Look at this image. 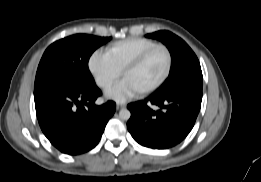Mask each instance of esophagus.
I'll return each mask as SVG.
<instances>
[{
	"mask_svg": "<svg viewBox=\"0 0 261 182\" xmlns=\"http://www.w3.org/2000/svg\"><path fill=\"white\" fill-rule=\"evenodd\" d=\"M125 107H126V104H124V103H117V104H116V109H117V110L123 109V108H125Z\"/></svg>",
	"mask_w": 261,
	"mask_h": 182,
	"instance_id": "obj_1",
	"label": "esophagus"
}]
</instances>
